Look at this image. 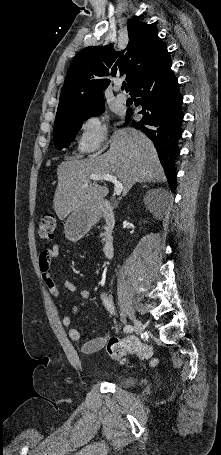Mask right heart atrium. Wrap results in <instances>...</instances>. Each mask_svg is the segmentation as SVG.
Returning <instances> with one entry per match:
<instances>
[{
    "label": "right heart atrium",
    "instance_id": "obj_1",
    "mask_svg": "<svg viewBox=\"0 0 221 455\" xmlns=\"http://www.w3.org/2000/svg\"><path fill=\"white\" fill-rule=\"evenodd\" d=\"M108 124L104 116L90 115L80 123L78 147L84 153L100 151L108 138Z\"/></svg>",
    "mask_w": 221,
    "mask_h": 455
}]
</instances>
